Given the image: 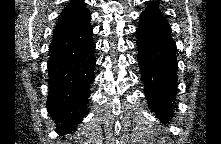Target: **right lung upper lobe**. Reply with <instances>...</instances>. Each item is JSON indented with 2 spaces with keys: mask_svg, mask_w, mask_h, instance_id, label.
<instances>
[{
  "mask_svg": "<svg viewBox=\"0 0 221 144\" xmlns=\"http://www.w3.org/2000/svg\"><path fill=\"white\" fill-rule=\"evenodd\" d=\"M91 14L84 6L82 0L72 1L71 4L64 7L59 22L56 25L53 33V41L89 24Z\"/></svg>",
  "mask_w": 221,
  "mask_h": 144,
  "instance_id": "obj_1",
  "label": "right lung upper lobe"
}]
</instances>
